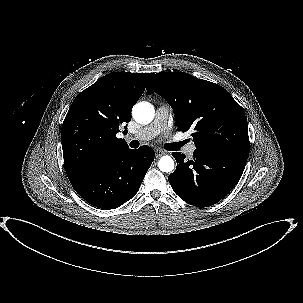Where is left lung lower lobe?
<instances>
[{"label":"left lung lower lobe","instance_id":"left-lung-lower-lobe-1","mask_svg":"<svg viewBox=\"0 0 303 303\" xmlns=\"http://www.w3.org/2000/svg\"><path fill=\"white\" fill-rule=\"evenodd\" d=\"M177 168L169 175L174 192L185 202L207 207L224 198L239 182L248 155L235 152L195 150L192 160L172 154Z\"/></svg>","mask_w":303,"mask_h":303}]
</instances>
